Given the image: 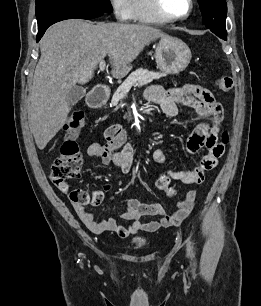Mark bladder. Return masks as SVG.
Wrapping results in <instances>:
<instances>
[{"label": "bladder", "mask_w": 261, "mask_h": 306, "mask_svg": "<svg viewBox=\"0 0 261 306\" xmlns=\"http://www.w3.org/2000/svg\"><path fill=\"white\" fill-rule=\"evenodd\" d=\"M133 243L136 245V246H143L145 243H146V240L143 238V237H134L133 238Z\"/></svg>", "instance_id": "obj_1"}]
</instances>
